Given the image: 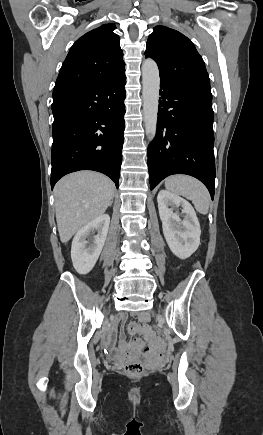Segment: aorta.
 <instances>
[{
  "mask_svg": "<svg viewBox=\"0 0 263 435\" xmlns=\"http://www.w3.org/2000/svg\"><path fill=\"white\" fill-rule=\"evenodd\" d=\"M143 114L146 134L153 139L157 129L160 77L156 62L150 58L142 64Z\"/></svg>",
  "mask_w": 263,
  "mask_h": 435,
  "instance_id": "aorta-1",
  "label": "aorta"
}]
</instances>
